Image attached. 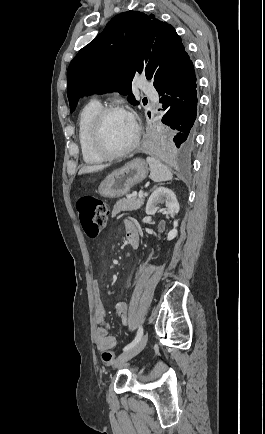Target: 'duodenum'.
<instances>
[{"mask_svg":"<svg viewBox=\"0 0 265 434\" xmlns=\"http://www.w3.org/2000/svg\"><path fill=\"white\" fill-rule=\"evenodd\" d=\"M131 246H132L133 248H136V247H137L136 243H131Z\"/></svg>","mask_w":265,"mask_h":434,"instance_id":"obj_1","label":"duodenum"}]
</instances>
